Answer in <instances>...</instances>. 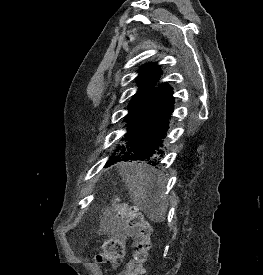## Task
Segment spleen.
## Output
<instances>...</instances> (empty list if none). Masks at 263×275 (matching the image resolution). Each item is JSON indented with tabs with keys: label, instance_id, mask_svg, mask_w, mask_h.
I'll list each match as a JSON object with an SVG mask.
<instances>
[{
	"label": "spleen",
	"instance_id": "1",
	"mask_svg": "<svg viewBox=\"0 0 263 275\" xmlns=\"http://www.w3.org/2000/svg\"><path fill=\"white\" fill-rule=\"evenodd\" d=\"M122 176L135 200L142 206L151 220L162 222L167 205L163 192L164 180L159 172L137 163L120 165Z\"/></svg>",
	"mask_w": 263,
	"mask_h": 275
}]
</instances>
